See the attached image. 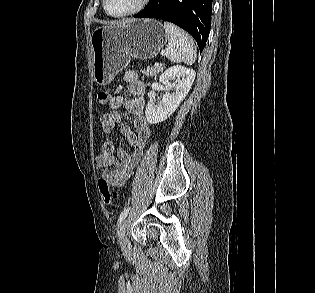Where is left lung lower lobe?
<instances>
[{
  "label": "left lung lower lobe",
  "instance_id": "left-lung-lower-lobe-1",
  "mask_svg": "<svg viewBox=\"0 0 315 293\" xmlns=\"http://www.w3.org/2000/svg\"><path fill=\"white\" fill-rule=\"evenodd\" d=\"M211 1L150 0L134 17L160 18L175 23L194 37L202 51L210 31Z\"/></svg>",
  "mask_w": 315,
  "mask_h": 293
}]
</instances>
